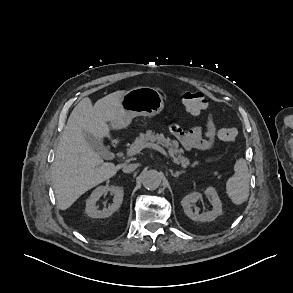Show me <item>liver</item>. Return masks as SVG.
Here are the masks:
<instances>
[{
    "mask_svg": "<svg viewBox=\"0 0 293 293\" xmlns=\"http://www.w3.org/2000/svg\"><path fill=\"white\" fill-rule=\"evenodd\" d=\"M124 91L99 99L94 106L86 97L71 112L58 143L51 174L58 206L68 209L81 195L113 177L121 165L103 162L87 143L89 133L100 141L109 136V126L123 113L120 98Z\"/></svg>",
    "mask_w": 293,
    "mask_h": 293,
    "instance_id": "1",
    "label": "liver"
}]
</instances>
